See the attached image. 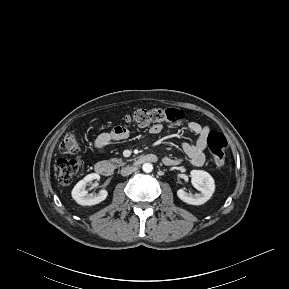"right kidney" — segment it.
Wrapping results in <instances>:
<instances>
[{
    "label": "right kidney",
    "mask_w": 289,
    "mask_h": 289,
    "mask_svg": "<svg viewBox=\"0 0 289 289\" xmlns=\"http://www.w3.org/2000/svg\"><path fill=\"white\" fill-rule=\"evenodd\" d=\"M95 179L99 180L100 176L97 173H91L74 186L71 195L78 204L83 206L96 205L107 198L108 192L106 190H101L98 195L90 194L86 190L87 184Z\"/></svg>",
    "instance_id": "ca27d5eb"
}]
</instances>
